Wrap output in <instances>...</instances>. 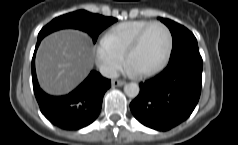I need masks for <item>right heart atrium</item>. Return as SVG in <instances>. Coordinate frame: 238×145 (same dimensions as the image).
Wrapping results in <instances>:
<instances>
[{
  "mask_svg": "<svg viewBox=\"0 0 238 145\" xmlns=\"http://www.w3.org/2000/svg\"><path fill=\"white\" fill-rule=\"evenodd\" d=\"M95 59L101 73L113 77L123 64L124 56L101 39L96 44Z\"/></svg>",
  "mask_w": 238,
  "mask_h": 145,
  "instance_id": "1",
  "label": "right heart atrium"
}]
</instances>
